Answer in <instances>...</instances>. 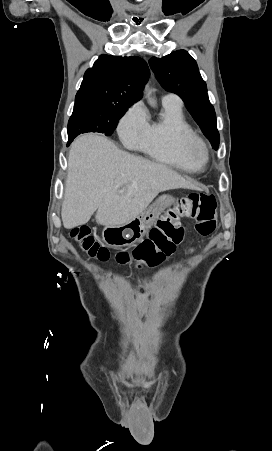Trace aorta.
Listing matches in <instances>:
<instances>
[{
    "instance_id": "1",
    "label": "aorta",
    "mask_w": 272,
    "mask_h": 451,
    "mask_svg": "<svg viewBox=\"0 0 272 451\" xmlns=\"http://www.w3.org/2000/svg\"><path fill=\"white\" fill-rule=\"evenodd\" d=\"M145 94L148 98V104L149 106H152V108H156V100H154V98H150L151 94H152V90L150 88V86H145Z\"/></svg>"
}]
</instances>
